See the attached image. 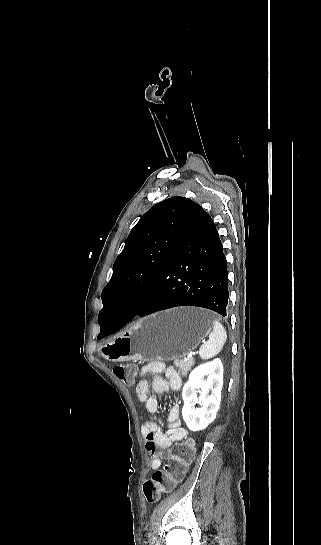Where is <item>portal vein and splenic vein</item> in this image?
<instances>
[{"label":"portal vein and splenic vein","instance_id":"obj_1","mask_svg":"<svg viewBox=\"0 0 321 545\" xmlns=\"http://www.w3.org/2000/svg\"><path fill=\"white\" fill-rule=\"evenodd\" d=\"M203 344H206V341H203ZM202 347H203V346L200 344L198 347L194 348V349L192 350L191 355H189V357L195 356V355H197L199 352H201V350H202L201 348H202Z\"/></svg>","mask_w":321,"mask_h":545}]
</instances>
